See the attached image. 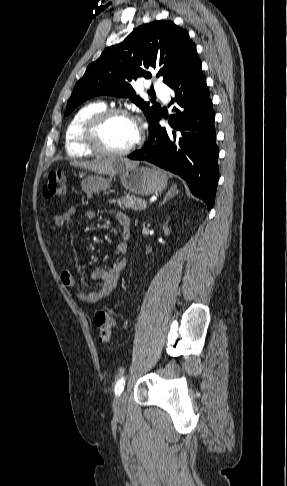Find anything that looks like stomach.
Wrapping results in <instances>:
<instances>
[{
  "instance_id": "0dacf381",
  "label": "stomach",
  "mask_w": 287,
  "mask_h": 486,
  "mask_svg": "<svg viewBox=\"0 0 287 486\" xmlns=\"http://www.w3.org/2000/svg\"><path fill=\"white\" fill-rule=\"evenodd\" d=\"M113 177L104 178L99 175H89L81 182L82 190L87 194L106 191L110 188ZM121 185L137 195H151L163 191L167 187L166 174L156 168L134 166L124 169L119 175Z\"/></svg>"
}]
</instances>
